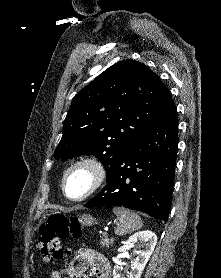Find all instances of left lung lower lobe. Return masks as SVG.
<instances>
[{
    "label": "left lung lower lobe",
    "mask_w": 221,
    "mask_h": 278,
    "mask_svg": "<svg viewBox=\"0 0 221 278\" xmlns=\"http://www.w3.org/2000/svg\"><path fill=\"white\" fill-rule=\"evenodd\" d=\"M175 104L122 152L107 185L85 207L123 206L167 221L178 149Z\"/></svg>",
    "instance_id": "left-lung-lower-lobe-1"
}]
</instances>
